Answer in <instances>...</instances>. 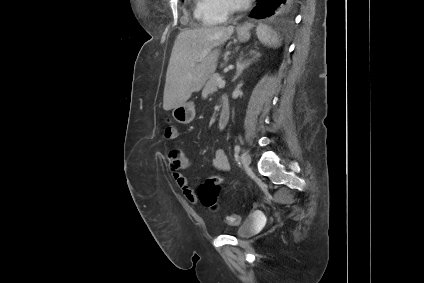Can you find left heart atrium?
I'll return each mask as SVG.
<instances>
[{"instance_id":"1","label":"left heart atrium","mask_w":424,"mask_h":283,"mask_svg":"<svg viewBox=\"0 0 424 283\" xmlns=\"http://www.w3.org/2000/svg\"><path fill=\"white\" fill-rule=\"evenodd\" d=\"M238 4H245L247 3L249 0H235Z\"/></svg>"}]
</instances>
